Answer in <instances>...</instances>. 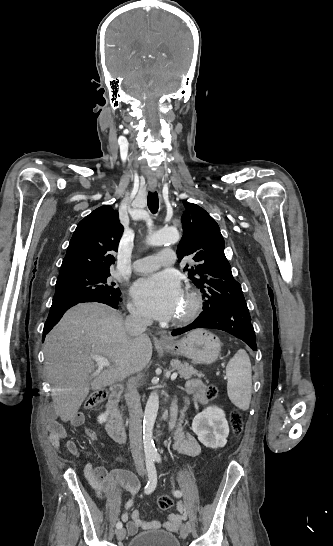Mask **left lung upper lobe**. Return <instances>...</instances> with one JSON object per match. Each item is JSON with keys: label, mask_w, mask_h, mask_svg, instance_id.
I'll use <instances>...</instances> for the list:
<instances>
[{"label": "left lung upper lobe", "mask_w": 333, "mask_h": 546, "mask_svg": "<svg viewBox=\"0 0 333 546\" xmlns=\"http://www.w3.org/2000/svg\"><path fill=\"white\" fill-rule=\"evenodd\" d=\"M181 222L183 236L177 248L179 262L186 258L195 261L184 271L203 293V310L213 309L214 303L223 305L245 303L241 285L233 278L224 254V239L216 221L196 204L184 202Z\"/></svg>", "instance_id": "1"}]
</instances>
